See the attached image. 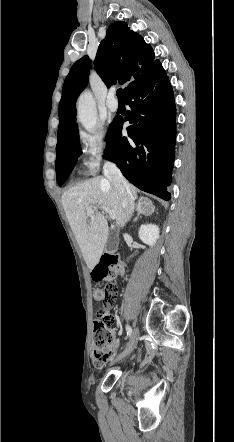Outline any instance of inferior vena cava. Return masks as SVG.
Segmentation results:
<instances>
[{"mask_svg":"<svg viewBox=\"0 0 234 442\" xmlns=\"http://www.w3.org/2000/svg\"><path fill=\"white\" fill-rule=\"evenodd\" d=\"M103 172L108 177L122 197V206L124 208L125 220L128 221L135 208L134 196L130 190L129 184L122 175L120 169L112 162H106L103 166Z\"/></svg>","mask_w":234,"mask_h":442,"instance_id":"inferior-vena-cava-1","label":"inferior vena cava"}]
</instances>
